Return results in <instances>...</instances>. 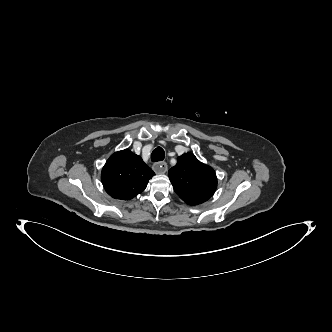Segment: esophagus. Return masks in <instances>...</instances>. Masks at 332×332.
Wrapping results in <instances>:
<instances>
[{"label": "esophagus", "instance_id": "obj_1", "mask_svg": "<svg viewBox=\"0 0 332 332\" xmlns=\"http://www.w3.org/2000/svg\"><path fill=\"white\" fill-rule=\"evenodd\" d=\"M167 168H168L167 163L164 162V161L157 162V163H155V164L153 165V169H154V171H155L156 173H158V174H164V173H166Z\"/></svg>", "mask_w": 332, "mask_h": 332}]
</instances>
